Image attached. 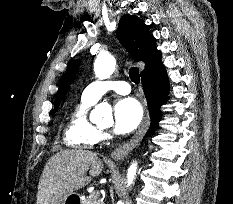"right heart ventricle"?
Listing matches in <instances>:
<instances>
[{"label":"right heart ventricle","mask_w":233,"mask_h":204,"mask_svg":"<svg viewBox=\"0 0 233 204\" xmlns=\"http://www.w3.org/2000/svg\"><path fill=\"white\" fill-rule=\"evenodd\" d=\"M93 104L82 96L72 109L64 130V141L69 147L91 148L101 141V131L88 119Z\"/></svg>","instance_id":"1"}]
</instances>
